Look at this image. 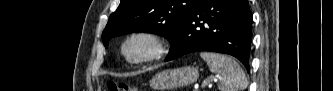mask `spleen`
Returning a JSON list of instances; mask_svg holds the SVG:
<instances>
[{
	"instance_id": "1",
	"label": "spleen",
	"mask_w": 333,
	"mask_h": 91,
	"mask_svg": "<svg viewBox=\"0 0 333 91\" xmlns=\"http://www.w3.org/2000/svg\"><path fill=\"white\" fill-rule=\"evenodd\" d=\"M200 56L210 71L217 74L220 91H243L247 87L246 75L233 58L213 52H201Z\"/></svg>"
}]
</instances>
